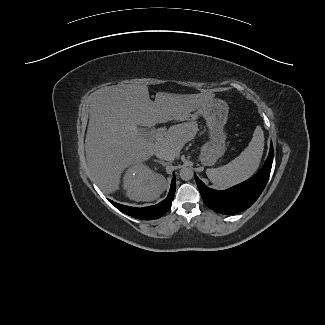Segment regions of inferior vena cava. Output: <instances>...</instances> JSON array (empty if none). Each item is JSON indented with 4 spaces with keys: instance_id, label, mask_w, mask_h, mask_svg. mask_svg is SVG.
Masks as SVG:
<instances>
[{
    "instance_id": "obj_1",
    "label": "inferior vena cava",
    "mask_w": 325,
    "mask_h": 325,
    "mask_svg": "<svg viewBox=\"0 0 325 325\" xmlns=\"http://www.w3.org/2000/svg\"><path fill=\"white\" fill-rule=\"evenodd\" d=\"M156 156L159 159L166 160V161H173L175 159V153L168 149H159L156 152Z\"/></svg>"
}]
</instances>
